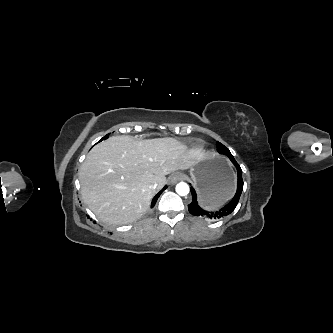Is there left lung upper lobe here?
I'll return each mask as SVG.
<instances>
[{
  "mask_svg": "<svg viewBox=\"0 0 333 333\" xmlns=\"http://www.w3.org/2000/svg\"><path fill=\"white\" fill-rule=\"evenodd\" d=\"M218 152L224 155H227L230 160L234 159V157L232 156V154L230 153L229 149L226 148L223 144H221L220 142H218Z\"/></svg>",
  "mask_w": 333,
  "mask_h": 333,
  "instance_id": "obj_1",
  "label": "left lung upper lobe"
}]
</instances>
